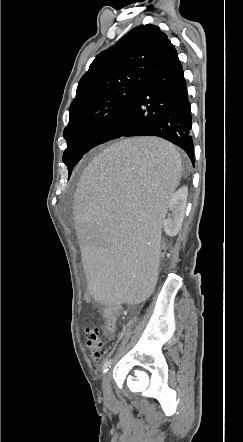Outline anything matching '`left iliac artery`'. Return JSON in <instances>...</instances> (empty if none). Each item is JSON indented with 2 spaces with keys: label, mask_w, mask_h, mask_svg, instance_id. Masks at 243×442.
Returning a JSON list of instances; mask_svg holds the SVG:
<instances>
[{
  "label": "left iliac artery",
  "mask_w": 243,
  "mask_h": 442,
  "mask_svg": "<svg viewBox=\"0 0 243 442\" xmlns=\"http://www.w3.org/2000/svg\"><path fill=\"white\" fill-rule=\"evenodd\" d=\"M111 359H108L105 361L104 365H103V372L106 373L108 372L109 368L111 367Z\"/></svg>",
  "instance_id": "1"
}]
</instances>
